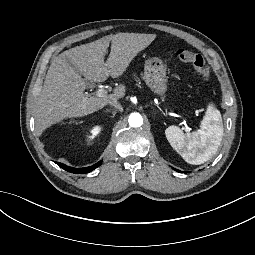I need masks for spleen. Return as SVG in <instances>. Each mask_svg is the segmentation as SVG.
I'll use <instances>...</instances> for the list:
<instances>
[{
	"label": "spleen",
	"instance_id": "spleen-1",
	"mask_svg": "<svg viewBox=\"0 0 255 255\" xmlns=\"http://www.w3.org/2000/svg\"><path fill=\"white\" fill-rule=\"evenodd\" d=\"M203 127L205 130L201 133L193 132L187 136L179 127L174 125L165 130L171 146L178 150L189 164L199 165L211 159L222 141L221 113L212 104L207 107Z\"/></svg>",
	"mask_w": 255,
	"mask_h": 255
}]
</instances>
